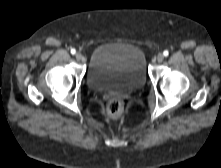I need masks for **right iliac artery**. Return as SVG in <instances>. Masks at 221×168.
<instances>
[{
    "instance_id": "1",
    "label": "right iliac artery",
    "mask_w": 221,
    "mask_h": 168,
    "mask_svg": "<svg viewBox=\"0 0 221 168\" xmlns=\"http://www.w3.org/2000/svg\"><path fill=\"white\" fill-rule=\"evenodd\" d=\"M76 50L75 49H71V54H75Z\"/></svg>"
}]
</instances>
